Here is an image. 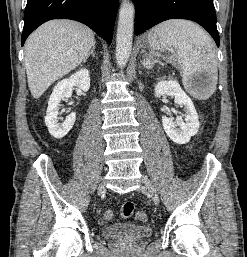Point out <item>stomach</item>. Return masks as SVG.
Here are the masks:
<instances>
[{
    "label": "stomach",
    "mask_w": 247,
    "mask_h": 257,
    "mask_svg": "<svg viewBox=\"0 0 247 257\" xmlns=\"http://www.w3.org/2000/svg\"><path fill=\"white\" fill-rule=\"evenodd\" d=\"M149 36V35H148ZM157 55V53L156 52H154L153 50H151V51H149V53L148 54H146V57L148 58V57H150V58H152V57H154V56H156ZM146 58V59H147Z\"/></svg>",
    "instance_id": "stomach-1"
}]
</instances>
